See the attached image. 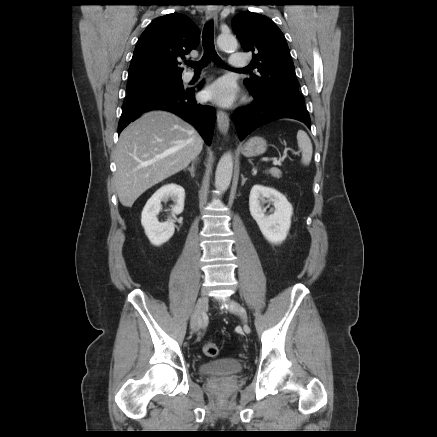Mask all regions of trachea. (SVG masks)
<instances>
[{"label": "trachea", "instance_id": "trachea-1", "mask_svg": "<svg viewBox=\"0 0 437 437\" xmlns=\"http://www.w3.org/2000/svg\"><path fill=\"white\" fill-rule=\"evenodd\" d=\"M202 45L204 49L203 57L198 62L187 61L186 64L188 66L194 68L195 71H200L202 68L206 67L211 61H213L221 67L228 68L227 65L217 55L215 50L213 21H209L204 27L202 33ZM241 70H246V68H243Z\"/></svg>", "mask_w": 437, "mask_h": 437}]
</instances>
